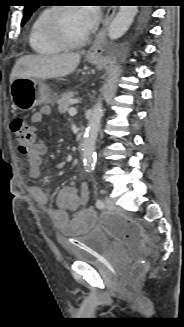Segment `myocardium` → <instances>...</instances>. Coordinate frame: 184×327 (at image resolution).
<instances>
[{
    "label": "myocardium",
    "instance_id": "f54148a6",
    "mask_svg": "<svg viewBox=\"0 0 184 327\" xmlns=\"http://www.w3.org/2000/svg\"><path fill=\"white\" fill-rule=\"evenodd\" d=\"M71 9L75 8L69 6H57L51 8L45 18L44 23L45 32L47 33L49 38L64 49L78 48L85 45L91 35V32L88 31L86 35L75 41L68 39L64 35V33L60 29L59 16L62 12Z\"/></svg>",
    "mask_w": 184,
    "mask_h": 327
}]
</instances>
